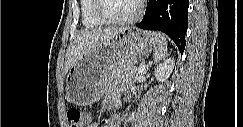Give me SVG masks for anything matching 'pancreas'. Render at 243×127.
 <instances>
[{
  "label": "pancreas",
  "mask_w": 243,
  "mask_h": 127,
  "mask_svg": "<svg viewBox=\"0 0 243 127\" xmlns=\"http://www.w3.org/2000/svg\"><path fill=\"white\" fill-rule=\"evenodd\" d=\"M114 79L126 82L128 86L134 84L137 78L142 75L134 65H123L112 72Z\"/></svg>",
  "instance_id": "pancreas-1"
}]
</instances>
